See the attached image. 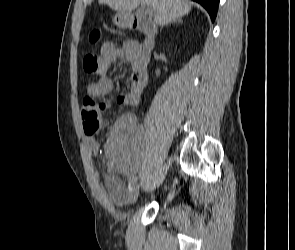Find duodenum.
Returning <instances> with one entry per match:
<instances>
[{"label": "duodenum", "mask_w": 295, "mask_h": 250, "mask_svg": "<svg viewBox=\"0 0 295 250\" xmlns=\"http://www.w3.org/2000/svg\"><path fill=\"white\" fill-rule=\"evenodd\" d=\"M123 21L127 23L128 28L137 30L145 35L142 43V57L139 60L137 69L138 75L142 81H146L148 73L146 69V54L151 52L155 46V37L157 34L156 25L147 17L135 13H126Z\"/></svg>", "instance_id": "1"}]
</instances>
